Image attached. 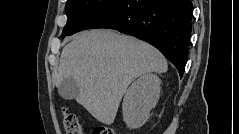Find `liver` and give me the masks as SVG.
<instances>
[{
    "instance_id": "6515ba94",
    "label": "liver",
    "mask_w": 239,
    "mask_h": 134,
    "mask_svg": "<svg viewBox=\"0 0 239 134\" xmlns=\"http://www.w3.org/2000/svg\"><path fill=\"white\" fill-rule=\"evenodd\" d=\"M167 69L164 56L150 44L98 29L81 32L63 48L54 82L59 86L65 78H73L79 87L77 103L110 125L132 81Z\"/></svg>"
}]
</instances>
